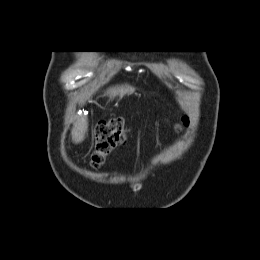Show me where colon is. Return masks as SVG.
I'll list each match as a JSON object with an SVG mask.
<instances>
[{"instance_id":"5ec220e1","label":"colon","mask_w":260,"mask_h":260,"mask_svg":"<svg viewBox=\"0 0 260 260\" xmlns=\"http://www.w3.org/2000/svg\"><path fill=\"white\" fill-rule=\"evenodd\" d=\"M187 124V119H183L181 124L176 126L181 130L182 126ZM129 128L123 118H111L100 121L95 129V150L91 158L93 167L102 166L107 160L109 154L118 146L126 142Z\"/></svg>"}]
</instances>
